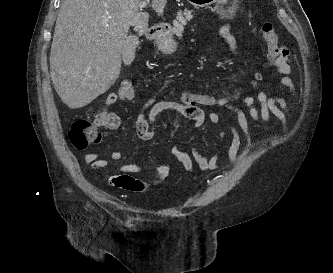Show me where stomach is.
Segmentation results:
<instances>
[{
    "label": "stomach",
    "mask_w": 333,
    "mask_h": 273,
    "mask_svg": "<svg viewBox=\"0 0 333 273\" xmlns=\"http://www.w3.org/2000/svg\"><path fill=\"white\" fill-rule=\"evenodd\" d=\"M196 7H208L214 4V10L217 12V19H227L228 23H241L242 18L240 12H232L229 4H235V0H187ZM156 45L163 53H173L177 49V42L174 40L170 28H163L156 37Z\"/></svg>",
    "instance_id": "0dacf381"
}]
</instances>
